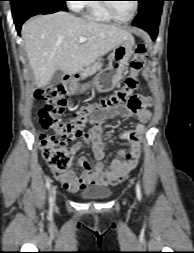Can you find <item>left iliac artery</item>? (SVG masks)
Listing matches in <instances>:
<instances>
[{
  "instance_id": "left-iliac-artery-1",
  "label": "left iliac artery",
  "mask_w": 194,
  "mask_h": 253,
  "mask_svg": "<svg viewBox=\"0 0 194 253\" xmlns=\"http://www.w3.org/2000/svg\"><path fill=\"white\" fill-rule=\"evenodd\" d=\"M136 194H137L138 200H141V187L139 183L136 184Z\"/></svg>"
}]
</instances>
